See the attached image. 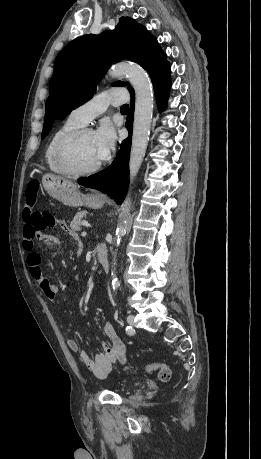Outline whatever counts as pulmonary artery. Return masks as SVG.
<instances>
[{
  "instance_id": "obj_1",
  "label": "pulmonary artery",
  "mask_w": 261,
  "mask_h": 459,
  "mask_svg": "<svg viewBox=\"0 0 261 459\" xmlns=\"http://www.w3.org/2000/svg\"><path fill=\"white\" fill-rule=\"evenodd\" d=\"M127 100V93L120 88L105 90L70 113V118L81 125L88 124L93 118L103 113L109 105H120Z\"/></svg>"
}]
</instances>
